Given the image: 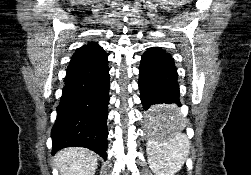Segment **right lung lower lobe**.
Segmentation results:
<instances>
[{"mask_svg": "<svg viewBox=\"0 0 251 175\" xmlns=\"http://www.w3.org/2000/svg\"><path fill=\"white\" fill-rule=\"evenodd\" d=\"M107 55L85 64L68 66L57 118L52 128V154L79 146L106 160L109 68Z\"/></svg>", "mask_w": 251, "mask_h": 175, "instance_id": "98d812e1", "label": "right lung lower lobe"}]
</instances>
